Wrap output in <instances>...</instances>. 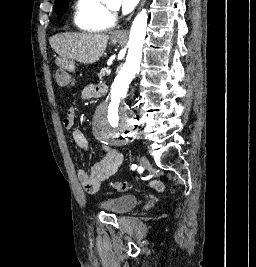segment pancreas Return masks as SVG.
I'll return each instance as SVG.
<instances>
[{
    "label": "pancreas",
    "mask_w": 256,
    "mask_h": 267,
    "mask_svg": "<svg viewBox=\"0 0 256 267\" xmlns=\"http://www.w3.org/2000/svg\"><path fill=\"white\" fill-rule=\"evenodd\" d=\"M106 70L107 68H103V70H101V74H99V78H103V76H105Z\"/></svg>",
    "instance_id": "obj_1"
}]
</instances>
